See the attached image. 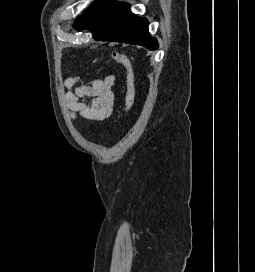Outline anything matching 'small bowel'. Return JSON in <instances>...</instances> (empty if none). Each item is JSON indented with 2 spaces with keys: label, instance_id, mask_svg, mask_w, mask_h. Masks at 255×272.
<instances>
[{
  "label": "small bowel",
  "instance_id": "small-bowel-1",
  "mask_svg": "<svg viewBox=\"0 0 255 272\" xmlns=\"http://www.w3.org/2000/svg\"><path fill=\"white\" fill-rule=\"evenodd\" d=\"M114 75L105 79L93 77L88 83L79 77L68 78L65 82V105L72 120L78 115L100 121L110 116L116 104Z\"/></svg>",
  "mask_w": 255,
  "mask_h": 272
}]
</instances>
